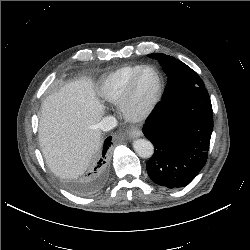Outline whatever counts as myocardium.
<instances>
[{
  "label": "myocardium",
  "mask_w": 250,
  "mask_h": 250,
  "mask_svg": "<svg viewBox=\"0 0 250 250\" xmlns=\"http://www.w3.org/2000/svg\"><path fill=\"white\" fill-rule=\"evenodd\" d=\"M153 71L157 78L156 90L148 102V104L140 111H135L132 108V100L136 90V86L145 71ZM163 94V79L159 71L152 66H144L139 70L136 75L130 81L125 93L123 94L121 100L119 101L120 111L123 117L131 123H141L147 120L155 111L157 106L161 101Z\"/></svg>",
  "instance_id": "obj_1"
}]
</instances>
